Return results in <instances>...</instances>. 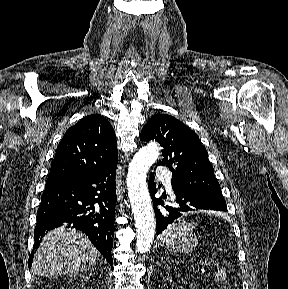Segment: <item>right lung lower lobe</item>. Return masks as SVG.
Listing matches in <instances>:
<instances>
[{"label": "right lung lower lobe", "instance_id": "right-lung-lower-lobe-1", "mask_svg": "<svg viewBox=\"0 0 288 289\" xmlns=\"http://www.w3.org/2000/svg\"><path fill=\"white\" fill-rule=\"evenodd\" d=\"M117 161L99 170L46 182L37 212L33 255L42 237L56 227L73 225L85 233L112 266Z\"/></svg>", "mask_w": 288, "mask_h": 289}]
</instances>
